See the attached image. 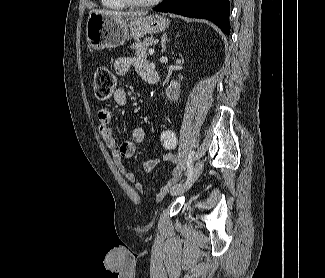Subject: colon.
Returning <instances> with one entry per match:
<instances>
[{
  "mask_svg": "<svg viewBox=\"0 0 325 278\" xmlns=\"http://www.w3.org/2000/svg\"><path fill=\"white\" fill-rule=\"evenodd\" d=\"M93 91L100 101L108 100L116 92V78L107 67H98L93 79ZM161 145L166 150L176 147L177 139L173 133L160 138Z\"/></svg>",
  "mask_w": 325,
  "mask_h": 278,
  "instance_id": "obj_1",
  "label": "colon"
}]
</instances>
